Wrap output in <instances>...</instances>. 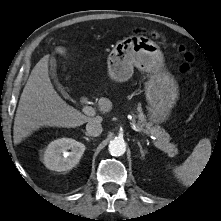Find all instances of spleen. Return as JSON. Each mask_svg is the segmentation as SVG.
Instances as JSON below:
<instances>
[{
  "mask_svg": "<svg viewBox=\"0 0 221 221\" xmlns=\"http://www.w3.org/2000/svg\"><path fill=\"white\" fill-rule=\"evenodd\" d=\"M211 155V143L203 138L195 146L192 154L179 167L175 168L177 177L185 185L191 184L201 173Z\"/></svg>",
  "mask_w": 221,
  "mask_h": 221,
  "instance_id": "spleen-1",
  "label": "spleen"
}]
</instances>
